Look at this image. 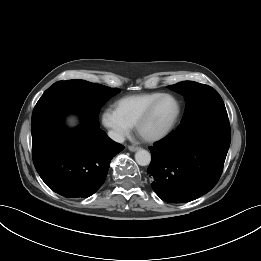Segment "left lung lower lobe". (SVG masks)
I'll return each mask as SVG.
<instances>
[{
	"instance_id": "0a47b994",
	"label": "left lung lower lobe",
	"mask_w": 261,
	"mask_h": 261,
	"mask_svg": "<svg viewBox=\"0 0 261 261\" xmlns=\"http://www.w3.org/2000/svg\"><path fill=\"white\" fill-rule=\"evenodd\" d=\"M227 115L177 128L149 147L147 173L151 186L164 201L184 203L209 192L217 183L230 146Z\"/></svg>"
}]
</instances>
